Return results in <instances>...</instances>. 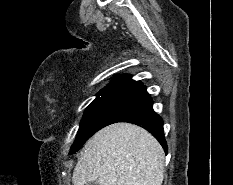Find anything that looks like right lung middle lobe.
<instances>
[{
    "instance_id": "right-lung-middle-lobe-1",
    "label": "right lung middle lobe",
    "mask_w": 233,
    "mask_h": 185,
    "mask_svg": "<svg viewBox=\"0 0 233 185\" xmlns=\"http://www.w3.org/2000/svg\"><path fill=\"white\" fill-rule=\"evenodd\" d=\"M129 92L127 90H104L97 94L95 100L84 113L77 137L70 149V154L78 151L98 131L101 121Z\"/></svg>"
}]
</instances>
